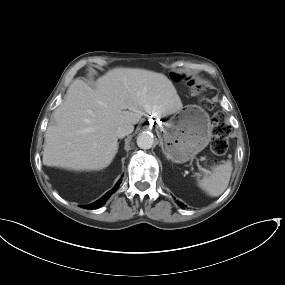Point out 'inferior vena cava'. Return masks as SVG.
Listing matches in <instances>:
<instances>
[{"instance_id": "obj_1", "label": "inferior vena cava", "mask_w": 285, "mask_h": 285, "mask_svg": "<svg viewBox=\"0 0 285 285\" xmlns=\"http://www.w3.org/2000/svg\"><path fill=\"white\" fill-rule=\"evenodd\" d=\"M133 130L134 126L132 124H123L116 129L115 134L118 138H123L126 135L132 133Z\"/></svg>"}]
</instances>
